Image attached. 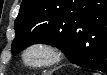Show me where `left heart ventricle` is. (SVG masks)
<instances>
[{
	"mask_svg": "<svg viewBox=\"0 0 107 75\" xmlns=\"http://www.w3.org/2000/svg\"><path fill=\"white\" fill-rule=\"evenodd\" d=\"M30 59H31L32 61L38 62V61L43 60V59H44V56H43L42 54H40V53H34V54H32V55L30 56Z\"/></svg>",
	"mask_w": 107,
	"mask_h": 75,
	"instance_id": "b2bd125f",
	"label": "left heart ventricle"
}]
</instances>
